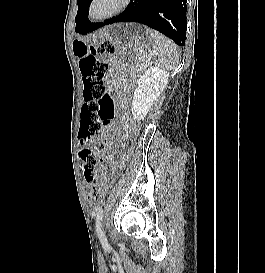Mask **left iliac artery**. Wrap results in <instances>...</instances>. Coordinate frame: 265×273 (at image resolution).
Returning <instances> with one entry per match:
<instances>
[{"instance_id": "left-iliac-artery-1", "label": "left iliac artery", "mask_w": 265, "mask_h": 273, "mask_svg": "<svg viewBox=\"0 0 265 273\" xmlns=\"http://www.w3.org/2000/svg\"><path fill=\"white\" fill-rule=\"evenodd\" d=\"M103 213H104V210L101 208L98 210V212L96 214V232H97L98 238H99L102 246L104 248H109L107 238H106L105 233L102 228Z\"/></svg>"}]
</instances>
